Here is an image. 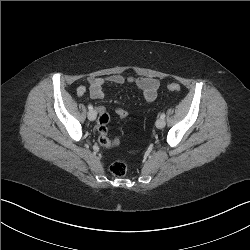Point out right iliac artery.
<instances>
[{
    "label": "right iliac artery",
    "instance_id": "obj_1",
    "mask_svg": "<svg viewBox=\"0 0 250 250\" xmlns=\"http://www.w3.org/2000/svg\"><path fill=\"white\" fill-rule=\"evenodd\" d=\"M88 109L92 110L93 109L92 105H88Z\"/></svg>",
    "mask_w": 250,
    "mask_h": 250
}]
</instances>
